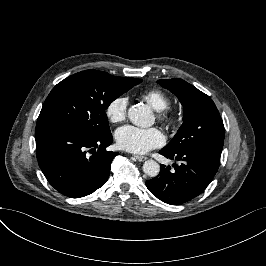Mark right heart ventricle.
I'll list each match as a JSON object with an SVG mask.
<instances>
[{"instance_id": "right-heart-ventricle-1", "label": "right heart ventricle", "mask_w": 266, "mask_h": 266, "mask_svg": "<svg viewBox=\"0 0 266 266\" xmlns=\"http://www.w3.org/2000/svg\"><path fill=\"white\" fill-rule=\"evenodd\" d=\"M141 97L157 111L166 109L170 105V99L168 95L158 88L145 90L141 94Z\"/></svg>"}]
</instances>
